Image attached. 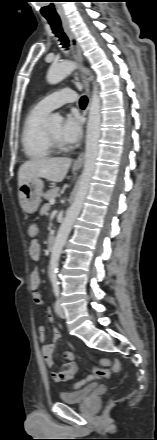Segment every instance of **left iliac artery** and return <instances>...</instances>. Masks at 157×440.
Returning a JSON list of instances; mask_svg holds the SVG:
<instances>
[{
  "instance_id": "1",
  "label": "left iliac artery",
  "mask_w": 157,
  "mask_h": 440,
  "mask_svg": "<svg viewBox=\"0 0 157 440\" xmlns=\"http://www.w3.org/2000/svg\"><path fill=\"white\" fill-rule=\"evenodd\" d=\"M53 292L56 296L59 295L60 292V288H59V283L58 282H53Z\"/></svg>"
}]
</instances>
